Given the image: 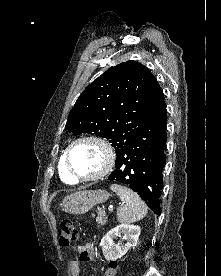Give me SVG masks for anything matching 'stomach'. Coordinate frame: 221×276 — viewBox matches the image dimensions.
Returning <instances> with one entry per match:
<instances>
[{
	"label": "stomach",
	"instance_id": "obj_1",
	"mask_svg": "<svg viewBox=\"0 0 221 276\" xmlns=\"http://www.w3.org/2000/svg\"><path fill=\"white\" fill-rule=\"evenodd\" d=\"M109 193L104 190L81 191L73 193L62 200V209L70 214H84L93 206L108 200Z\"/></svg>",
	"mask_w": 221,
	"mask_h": 276
}]
</instances>
